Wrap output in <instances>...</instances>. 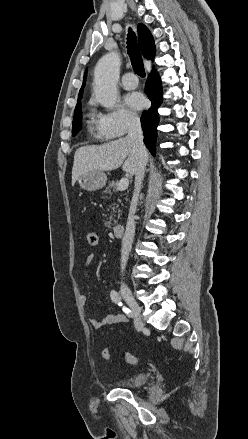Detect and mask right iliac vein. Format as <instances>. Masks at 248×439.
I'll return each instance as SVG.
<instances>
[{"mask_svg": "<svg viewBox=\"0 0 248 439\" xmlns=\"http://www.w3.org/2000/svg\"><path fill=\"white\" fill-rule=\"evenodd\" d=\"M121 293L129 307L131 308L139 329H142L144 324L141 317V309L137 301L134 299L131 291L128 288H123L121 290Z\"/></svg>", "mask_w": 248, "mask_h": 439, "instance_id": "63e3f726", "label": "right iliac vein"}]
</instances>
